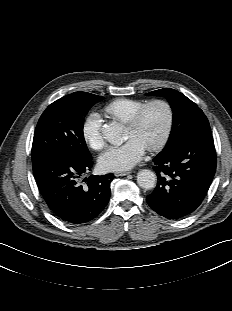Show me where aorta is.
<instances>
[{
    "mask_svg": "<svg viewBox=\"0 0 232 311\" xmlns=\"http://www.w3.org/2000/svg\"><path fill=\"white\" fill-rule=\"evenodd\" d=\"M104 138L113 145H120L121 132L117 123L106 124L103 129ZM157 177L154 172L148 169H142L137 173L138 185L146 190L156 186Z\"/></svg>",
    "mask_w": 232,
    "mask_h": 311,
    "instance_id": "1",
    "label": "aorta"
}]
</instances>
